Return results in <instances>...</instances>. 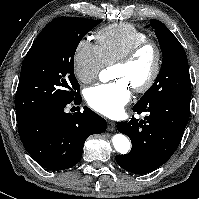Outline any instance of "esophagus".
Listing matches in <instances>:
<instances>
[{
  "instance_id": "1",
  "label": "esophagus",
  "mask_w": 199,
  "mask_h": 199,
  "mask_svg": "<svg viewBox=\"0 0 199 199\" xmlns=\"http://www.w3.org/2000/svg\"><path fill=\"white\" fill-rule=\"evenodd\" d=\"M108 125H107V129L110 131L115 130L116 128V123L114 121L108 120L107 121Z\"/></svg>"
}]
</instances>
